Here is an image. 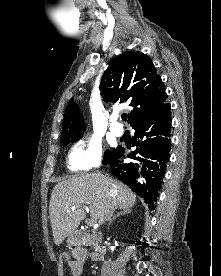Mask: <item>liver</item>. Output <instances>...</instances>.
<instances>
[{
    "label": "liver",
    "mask_w": 221,
    "mask_h": 276,
    "mask_svg": "<svg viewBox=\"0 0 221 276\" xmlns=\"http://www.w3.org/2000/svg\"><path fill=\"white\" fill-rule=\"evenodd\" d=\"M116 208H131L136 195L129 187L101 173L84 174L61 181L52 190L49 204L54 243L59 246L85 219V205L92 220L103 222L110 201Z\"/></svg>",
    "instance_id": "liver-1"
}]
</instances>
